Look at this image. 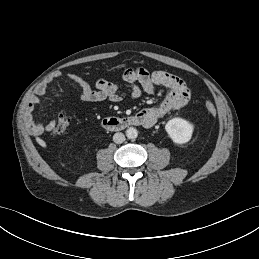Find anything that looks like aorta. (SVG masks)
Masks as SVG:
<instances>
[{"label": "aorta", "instance_id": "762f6f07", "mask_svg": "<svg viewBox=\"0 0 259 259\" xmlns=\"http://www.w3.org/2000/svg\"><path fill=\"white\" fill-rule=\"evenodd\" d=\"M126 136L128 139H135L138 136V131L135 128L130 127L126 130Z\"/></svg>", "mask_w": 259, "mask_h": 259}]
</instances>
